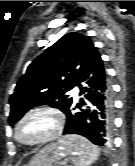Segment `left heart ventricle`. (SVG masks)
<instances>
[{
  "label": "left heart ventricle",
  "mask_w": 135,
  "mask_h": 166,
  "mask_svg": "<svg viewBox=\"0 0 135 166\" xmlns=\"http://www.w3.org/2000/svg\"><path fill=\"white\" fill-rule=\"evenodd\" d=\"M53 128V118L47 114H36L26 120L19 129L23 140L32 141L48 134Z\"/></svg>",
  "instance_id": "obj_1"
}]
</instances>
